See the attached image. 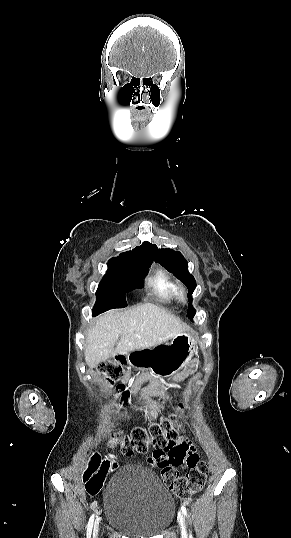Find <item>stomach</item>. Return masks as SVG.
<instances>
[{
	"label": "stomach",
	"instance_id": "0dacf381",
	"mask_svg": "<svg viewBox=\"0 0 291 538\" xmlns=\"http://www.w3.org/2000/svg\"><path fill=\"white\" fill-rule=\"evenodd\" d=\"M195 344L193 333L185 331L175 336L169 344L129 352L127 361L134 368L150 369L160 379H170L175 377L176 371H180L181 365L190 363Z\"/></svg>",
	"mask_w": 291,
	"mask_h": 538
}]
</instances>
